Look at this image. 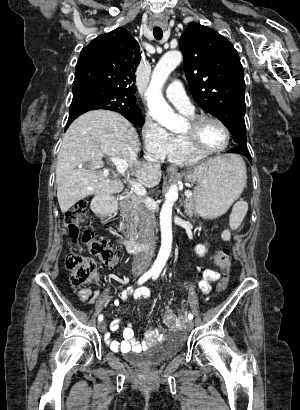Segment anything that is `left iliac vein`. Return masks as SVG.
Listing matches in <instances>:
<instances>
[{
    "instance_id": "1",
    "label": "left iliac vein",
    "mask_w": 300,
    "mask_h": 410,
    "mask_svg": "<svg viewBox=\"0 0 300 410\" xmlns=\"http://www.w3.org/2000/svg\"><path fill=\"white\" fill-rule=\"evenodd\" d=\"M185 324H186V326H187L188 328H192V327H193V322H192V320H189V319L185 320Z\"/></svg>"
}]
</instances>
